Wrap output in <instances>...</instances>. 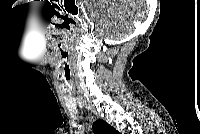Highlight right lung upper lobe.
<instances>
[{"label":"right lung upper lobe","instance_id":"obj_1","mask_svg":"<svg viewBox=\"0 0 200 134\" xmlns=\"http://www.w3.org/2000/svg\"><path fill=\"white\" fill-rule=\"evenodd\" d=\"M94 128L98 131L100 134H115L117 131L110 126L107 122L103 120H97L94 123Z\"/></svg>","mask_w":200,"mask_h":134}]
</instances>
